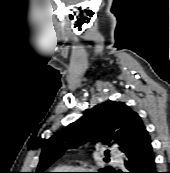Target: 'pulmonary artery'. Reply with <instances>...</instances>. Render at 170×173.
Returning a JSON list of instances; mask_svg holds the SVG:
<instances>
[{"label":"pulmonary artery","instance_id":"obj_1","mask_svg":"<svg viewBox=\"0 0 170 173\" xmlns=\"http://www.w3.org/2000/svg\"><path fill=\"white\" fill-rule=\"evenodd\" d=\"M112 155L117 159V163L118 164H122L123 163V161H122V159L120 158V156H119V154L117 153V152H112Z\"/></svg>","mask_w":170,"mask_h":173}]
</instances>
